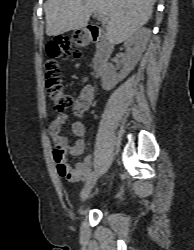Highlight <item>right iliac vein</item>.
Instances as JSON below:
<instances>
[{
  "label": "right iliac vein",
  "mask_w": 194,
  "mask_h": 250,
  "mask_svg": "<svg viewBox=\"0 0 194 250\" xmlns=\"http://www.w3.org/2000/svg\"><path fill=\"white\" fill-rule=\"evenodd\" d=\"M97 180H98V173L97 172L92 173V175L87 180V182H86V184L81 192V200L82 201H85L89 197L92 189L96 185Z\"/></svg>",
  "instance_id": "obj_1"
}]
</instances>
